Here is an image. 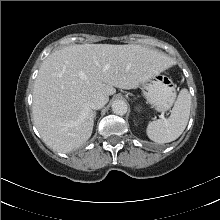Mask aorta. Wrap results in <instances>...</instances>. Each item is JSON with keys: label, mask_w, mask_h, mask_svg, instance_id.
<instances>
[{"label": "aorta", "mask_w": 220, "mask_h": 220, "mask_svg": "<svg viewBox=\"0 0 220 220\" xmlns=\"http://www.w3.org/2000/svg\"><path fill=\"white\" fill-rule=\"evenodd\" d=\"M128 106L123 100H115L112 102V111L117 115H125L127 113Z\"/></svg>", "instance_id": "1"}]
</instances>
